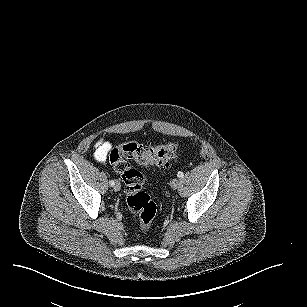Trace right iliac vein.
Returning <instances> with one entry per match:
<instances>
[{"label": "right iliac vein", "instance_id": "63e3f726", "mask_svg": "<svg viewBox=\"0 0 307 307\" xmlns=\"http://www.w3.org/2000/svg\"><path fill=\"white\" fill-rule=\"evenodd\" d=\"M113 188H114V191H115V192L120 191V189H121L120 182H119V181H116V183H115V185L113 186Z\"/></svg>", "mask_w": 307, "mask_h": 307}]
</instances>
